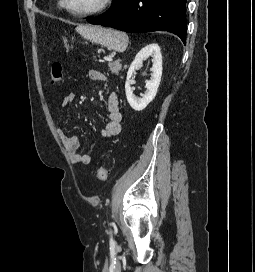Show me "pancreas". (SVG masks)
Wrapping results in <instances>:
<instances>
[{"label":"pancreas","mask_w":255,"mask_h":272,"mask_svg":"<svg viewBox=\"0 0 255 272\" xmlns=\"http://www.w3.org/2000/svg\"><path fill=\"white\" fill-rule=\"evenodd\" d=\"M121 68H122V65L119 60L115 61L113 63H109V69H110L111 73H113L115 75L119 74V72L121 71Z\"/></svg>","instance_id":"1"}]
</instances>
